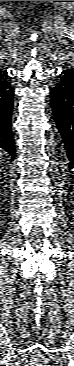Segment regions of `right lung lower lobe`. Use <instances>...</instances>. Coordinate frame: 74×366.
I'll return each instance as SVG.
<instances>
[{
    "label": "right lung lower lobe",
    "instance_id": "98d812e1",
    "mask_svg": "<svg viewBox=\"0 0 74 366\" xmlns=\"http://www.w3.org/2000/svg\"><path fill=\"white\" fill-rule=\"evenodd\" d=\"M14 91L7 73L0 76V151L5 150L13 160L16 155L14 137L11 131Z\"/></svg>",
    "mask_w": 74,
    "mask_h": 366
}]
</instances>
